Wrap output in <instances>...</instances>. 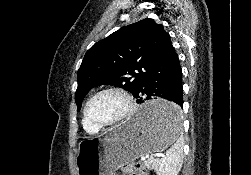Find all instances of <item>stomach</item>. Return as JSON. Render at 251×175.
<instances>
[{"label":"stomach","mask_w":251,"mask_h":175,"mask_svg":"<svg viewBox=\"0 0 251 175\" xmlns=\"http://www.w3.org/2000/svg\"><path fill=\"white\" fill-rule=\"evenodd\" d=\"M174 100H144L127 121L114 125L106 135L84 137L75 155L77 175H113L140 155L156 154L182 134Z\"/></svg>","instance_id":"stomach-1"}]
</instances>
